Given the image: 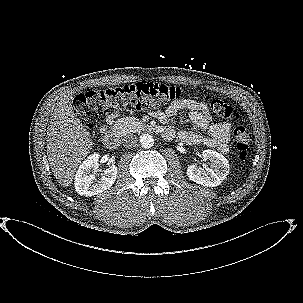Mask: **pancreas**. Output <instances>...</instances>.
Listing matches in <instances>:
<instances>
[{"mask_svg": "<svg viewBox=\"0 0 303 303\" xmlns=\"http://www.w3.org/2000/svg\"><path fill=\"white\" fill-rule=\"evenodd\" d=\"M145 127V124L135 117H124L119 119L115 124V132L123 136L131 132H140Z\"/></svg>", "mask_w": 303, "mask_h": 303, "instance_id": "cf45deb5", "label": "pancreas"}]
</instances>
